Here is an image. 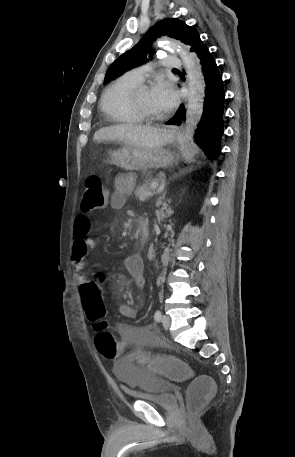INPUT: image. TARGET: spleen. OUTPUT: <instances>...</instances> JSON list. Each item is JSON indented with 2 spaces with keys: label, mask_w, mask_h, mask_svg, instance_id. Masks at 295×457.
<instances>
[{
  "label": "spleen",
  "mask_w": 295,
  "mask_h": 457,
  "mask_svg": "<svg viewBox=\"0 0 295 457\" xmlns=\"http://www.w3.org/2000/svg\"><path fill=\"white\" fill-rule=\"evenodd\" d=\"M181 151H182V155L186 161H188V162L193 161L192 157H193L195 151L192 149V147L190 145L182 146Z\"/></svg>",
  "instance_id": "1"
}]
</instances>
